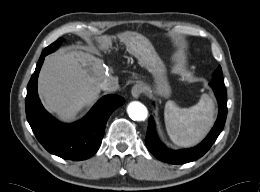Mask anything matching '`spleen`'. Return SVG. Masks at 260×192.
<instances>
[{"instance_id":"obj_1","label":"spleen","mask_w":260,"mask_h":192,"mask_svg":"<svg viewBox=\"0 0 260 192\" xmlns=\"http://www.w3.org/2000/svg\"><path fill=\"white\" fill-rule=\"evenodd\" d=\"M164 119L167 133L175 144L195 145L214 123V102L207 94H203L199 102L189 108H180L174 101H168Z\"/></svg>"}]
</instances>
